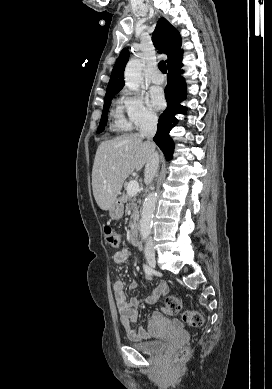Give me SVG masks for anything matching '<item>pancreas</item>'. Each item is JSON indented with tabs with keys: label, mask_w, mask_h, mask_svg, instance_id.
<instances>
[{
	"label": "pancreas",
	"mask_w": 272,
	"mask_h": 389,
	"mask_svg": "<svg viewBox=\"0 0 272 389\" xmlns=\"http://www.w3.org/2000/svg\"><path fill=\"white\" fill-rule=\"evenodd\" d=\"M122 200L124 203L127 204L126 211H128L130 208H132L133 210L132 221L129 223V227L132 230L136 225V220L138 218V213H139V206H137V204L135 203L136 202L135 196L126 194L122 196Z\"/></svg>",
	"instance_id": "cf45deb5"
}]
</instances>
